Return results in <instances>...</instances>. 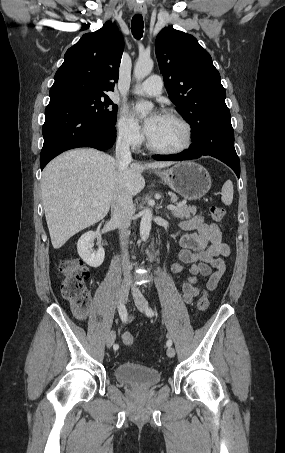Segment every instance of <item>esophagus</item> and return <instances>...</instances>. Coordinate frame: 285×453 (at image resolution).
<instances>
[{
    "label": "esophagus",
    "mask_w": 285,
    "mask_h": 453,
    "mask_svg": "<svg viewBox=\"0 0 285 453\" xmlns=\"http://www.w3.org/2000/svg\"><path fill=\"white\" fill-rule=\"evenodd\" d=\"M135 12L136 13H140L143 16H145L146 13H147L146 5L145 4H141V3L135 4Z\"/></svg>",
    "instance_id": "obj_1"
}]
</instances>
